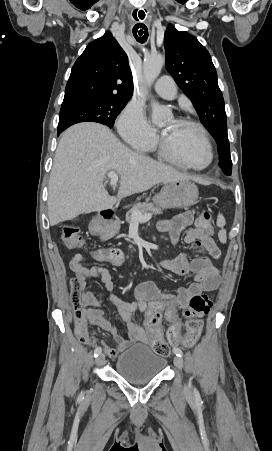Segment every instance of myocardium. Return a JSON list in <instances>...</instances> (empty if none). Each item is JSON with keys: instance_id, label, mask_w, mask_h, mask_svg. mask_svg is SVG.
I'll return each instance as SVG.
<instances>
[{"instance_id": "1", "label": "myocardium", "mask_w": 272, "mask_h": 451, "mask_svg": "<svg viewBox=\"0 0 272 451\" xmlns=\"http://www.w3.org/2000/svg\"><path fill=\"white\" fill-rule=\"evenodd\" d=\"M174 120L179 122V123H181V124H184L186 126L193 127L194 129H196L198 131V133H199V135H200V137H201V139H202V141H203V143H204V145H205V147L207 149V152H208V155H209V161H208L207 165L205 167H203V168H195V167H192L190 165L185 164L184 162H182V165H180L179 164L180 160H179V158L177 156H172L170 158L171 161L176 163V164H178L183 169H185L187 171H190V172H202V171H205V170L209 169L214 163L215 154H214V150H213L212 144H211V142H210V140H209V138L207 136V133H206L205 129L203 128V126L201 124L197 123V122H194L192 120H189V119H186V118H182V117L174 118ZM161 148H162L163 153L165 155H167L168 154V150H169V146L167 144L166 135H165L164 131L161 132Z\"/></svg>"}]
</instances>
